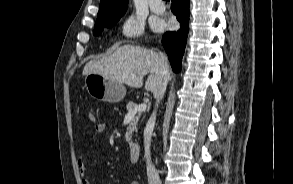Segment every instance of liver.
<instances>
[{"mask_svg":"<svg viewBox=\"0 0 293 184\" xmlns=\"http://www.w3.org/2000/svg\"><path fill=\"white\" fill-rule=\"evenodd\" d=\"M96 73L117 80L134 88H141L143 77L150 73L145 89L158 92L162 77L159 68V54L140 46L125 45L112 55L89 61L83 75Z\"/></svg>","mask_w":293,"mask_h":184,"instance_id":"obj_1","label":"liver"}]
</instances>
